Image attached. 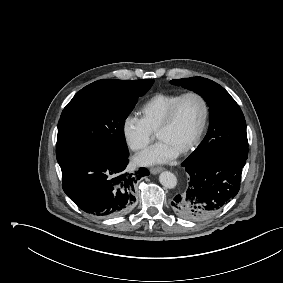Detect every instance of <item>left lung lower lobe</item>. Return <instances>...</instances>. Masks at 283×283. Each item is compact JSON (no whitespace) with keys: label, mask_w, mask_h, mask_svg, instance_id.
I'll return each instance as SVG.
<instances>
[{"label":"left lung lower lobe","mask_w":283,"mask_h":283,"mask_svg":"<svg viewBox=\"0 0 283 283\" xmlns=\"http://www.w3.org/2000/svg\"><path fill=\"white\" fill-rule=\"evenodd\" d=\"M246 159L219 155L182 166L190 175L187 191L171 202L179 217L201 221L215 215L240 189L242 168Z\"/></svg>","instance_id":"0a47b994"}]
</instances>
